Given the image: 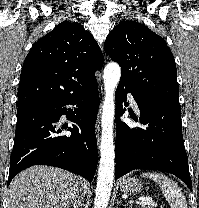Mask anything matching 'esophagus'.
Wrapping results in <instances>:
<instances>
[{"label":"esophagus","instance_id":"esophagus-1","mask_svg":"<svg viewBox=\"0 0 199 208\" xmlns=\"http://www.w3.org/2000/svg\"><path fill=\"white\" fill-rule=\"evenodd\" d=\"M100 112L98 113V118H97V123L95 127V133H96V138H97V144H99L100 141Z\"/></svg>","mask_w":199,"mask_h":208}]
</instances>
